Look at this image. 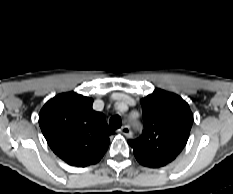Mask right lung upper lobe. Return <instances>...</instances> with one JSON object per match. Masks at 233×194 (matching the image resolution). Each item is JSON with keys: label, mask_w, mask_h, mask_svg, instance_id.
<instances>
[{"label": "right lung upper lobe", "mask_w": 233, "mask_h": 194, "mask_svg": "<svg viewBox=\"0 0 233 194\" xmlns=\"http://www.w3.org/2000/svg\"><path fill=\"white\" fill-rule=\"evenodd\" d=\"M93 99L75 92L50 99L41 109L39 125L50 148L71 166L86 167L105 154L114 133Z\"/></svg>", "instance_id": "1"}]
</instances>
